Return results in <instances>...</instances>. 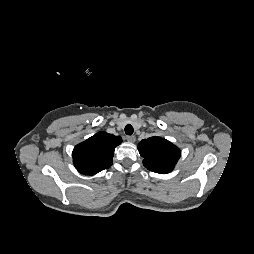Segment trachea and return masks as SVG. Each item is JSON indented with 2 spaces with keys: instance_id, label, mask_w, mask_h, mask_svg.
I'll use <instances>...</instances> for the list:
<instances>
[{
  "instance_id": "obj_1",
  "label": "trachea",
  "mask_w": 254,
  "mask_h": 254,
  "mask_svg": "<svg viewBox=\"0 0 254 254\" xmlns=\"http://www.w3.org/2000/svg\"><path fill=\"white\" fill-rule=\"evenodd\" d=\"M133 127H132V125L131 124H128V125H126V127H125V133L127 134V135H132L133 134Z\"/></svg>"
}]
</instances>
